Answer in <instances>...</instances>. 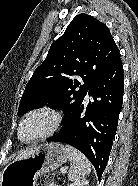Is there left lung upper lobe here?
Here are the masks:
<instances>
[{"label":"left lung upper lobe","mask_w":138,"mask_h":186,"mask_svg":"<svg viewBox=\"0 0 138 186\" xmlns=\"http://www.w3.org/2000/svg\"><path fill=\"white\" fill-rule=\"evenodd\" d=\"M109 28L96 18L79 14L54 41L22 95L19 115L47 105L62 110V125L79 106L92 84L120 60ZM79 78L84 81L80 85Z\"/></svg>","instance_id":"1"}]
</instances>
